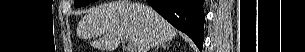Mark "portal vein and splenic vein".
Listing matches in <instances>:
<instances>
[{
	"label": "portal vein and splenic vein",
	"instance_id": "portal-vein-and-splenic-vein-1",
	"mask_svg": "<svg viewBox=\"0 0 305 52\" xmlns=\"http://www.w3.org/2000/svg\"><path fill=\"white\" fill-rule=\"evenodd\" d=\"M135 48V43L133 41H130V43L128 44L129 52H134Z\"/></svg>",
	"mask_w": 305,
	"mask_h": 52
}]
</instances>
